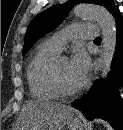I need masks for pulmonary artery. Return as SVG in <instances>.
Listing matches in <instances>:
<instances>
[{
    "instance_id": "pulmonary-artery-1",
    "label": "pulmonary artery",
    "mask_w": 123,
    "mask_h": 130,
    "mask_svg": "<svg viewBox=\"0 0 123 130\" xmlns=\"http://www.w3.org/2000/svg\"><path fill=\"white\" fill-rule=\"evenodd\" d=\"M98 35L99 30L94 24H74L52 35L46 43L61 52L66 43L74 38L94 39Z\"/></svg>"
}]
</instances>
